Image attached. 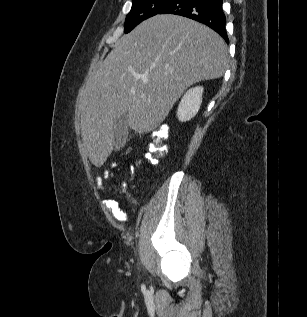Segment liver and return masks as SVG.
Listing matches in <instances>:
<instances>
[{"label":"liver","mask_w":307,"mask_h":317,"mask_svg":"<svg viewBox=\"0 0 307 317\" xmlns=\"http://www.w3.org/2000/svg\"><path fill=\"white\" fill-rule=\"evenodd\" d=\"M228 64L224 40L205 25L177 15L142 22L115 43L78 94L91 162L100 167L112 152L114 123L122 115L136 133L151 132L189 86L222 77Z\"/></svg>","instance_id":"1"}]
</instances>
